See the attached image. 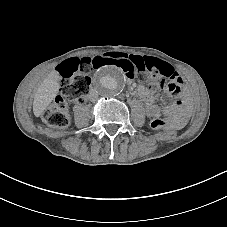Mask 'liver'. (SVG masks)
Returning <instances> with one entry per match:
<instances>
[{"mask_svg": "<svg viewBox=\"0 0 227 227\" xmlns=\"http://www.w3.org/2000/svg\"><path fill=\"white\" fill-rule=\"evenodd\" d=\"M58 79V74L52 71L37 89L33 101V112L35 116H40L55 97L58 88Z\"/></svg>", "mask_w": 227, "mask_h": 227, "instance_id": "obj_1", "label": "liver"}]
</instances>
